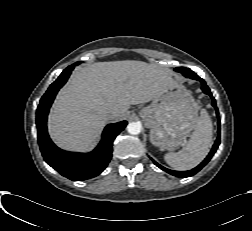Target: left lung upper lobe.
Masks as SVG:
<instances>
[{
  "mask_svg": "<svg viewBox=\"0 0 252 231\" xmlns=\"http://www.w3.org/2000/svg\"><path fill=\"white\" fill-rule=\"evenodd\" d=\"M188 68H185V67H177L175 68V71H178L180 73H182L183 71L187 70Z\"/></svg>",
  "mask_w": 252,
  "mask_h": 231,
  "instance_id": "5c2ea615",
  "label": "left lung upper lobe"
}]
</instances>
